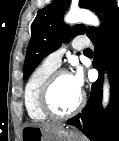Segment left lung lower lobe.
I'll return each mask as SVG.
<instances>
[{"label": "left lung lower lobe", "mask_w": 119, "mask_h": 141, "mask_svg": "<svg viewBox=\"0 0 119 141\" xmlns=\"http://www.w3.org/2000/svg\"><path fill=\"white\" fill-rule=\"evenodd\" d=\"M89 38L95 47L93 66L99 77L92 84L82 113L69 119L67 124L82 130L91 141H119V9ZM104 66L111 84L110 103L106 110H102L101 105Z\"/></svg>", "instance_id": "obj_1"}]
</instances>
